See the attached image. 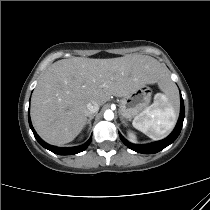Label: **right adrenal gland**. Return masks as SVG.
<instances>
[{
    "instance_id": "1",
    "label": "right adrenal gland",
    "mask_w": 210,
    "mask_h": 210,
    "mask_svg": "<svg viewBox=\"0 0 210 210\" xmlns=\"http://www.w3.org/2000/svg\"><path fill=\"white\" fill-rule=\"evenodd\" d=\"M93 118H94V115H91V116L89 117V119L87 120V122H86V124L89 126L88 129L91 128V121H92Z\"/></svg>"
}]
</instances>
